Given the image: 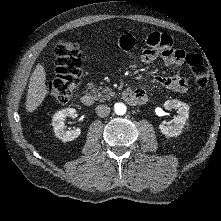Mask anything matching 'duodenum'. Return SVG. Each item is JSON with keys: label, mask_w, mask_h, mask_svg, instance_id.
<instances>
[{"label": "duodenum", "mask_w": 221, "mask_h": 221, "mask_svg": "<svg viewBox=\"0 0 221 221\" xmlns=\"http://www.w3.org/2000/svg\"><path fill=\"white\" fill-rule=\"evenodd\" d=\"M122 97L124 98L125 101H127L130 104H141L144 102V98L136 91L130 88H126L122 92ZM80 102L82 105L86 107L93 106L95 103L94 97L88 93L84 92L80 96Z\"/></svg>", "instance_id": "410a0bca"}]
</instances>
